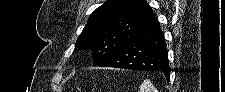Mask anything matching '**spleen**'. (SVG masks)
Here are the masks:
<instances>
[{"label":"spleen","instance_id":"spleen-1","mask_svg":"<svg viewBox=\"0 0 225 92\" xmlns=\"http://www.w3.org/2000/svg\"><path fill=\"white\" fill-rule=\"evenodd\" d=\"M139 92H158L149 79L143 81Z\"/></svg>","mask_w":225,"mask_h":92}]
</instances>
